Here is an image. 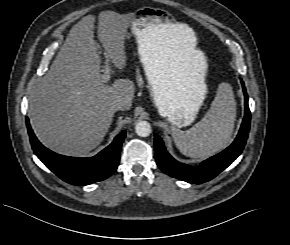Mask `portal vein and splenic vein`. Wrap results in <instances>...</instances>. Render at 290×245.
Here are the masks:
<instances>
[{
    "label": "portal vein and splenic vein",
    "instance_id": "obj_1",
    "mask_svg": "<svg viewBox=\"0 0 290 245\" xmlns=\"http://www.w3.org/2000/svg\"><path fill=\"white\" fill-rule=\"evenodd\" d=\"M110 79V70L106 67L105 72L101 75V80L103 83H107Z\"/></svg>",
    "mask_w": 290,
    "mask_h": 245
}]
</instances>
